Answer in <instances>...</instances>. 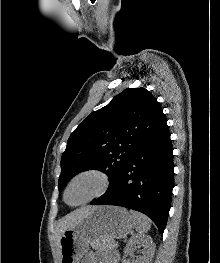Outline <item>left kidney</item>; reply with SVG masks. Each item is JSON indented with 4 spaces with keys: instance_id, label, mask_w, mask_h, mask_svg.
<instances>
[{
    "instance_id": "5707ae66",
    "label": "left kidney",
    "mask_w": 220,
    "mask_h": 263,
    "mask_svg": "<svg viewBox=\"0 0 220 263\" xmlns=\"http://www.w3.org/2000/svg\"><path fill=\"white\" fill-rule=\"evenodd\" d=\"M138 244L143 246V256L137 258L136 263H150L155 252V244L152 238L148 235L137 234L130 238L126 248L125 255L130 254L133 251V247Z\"/></svg>"
}]
</instances>
